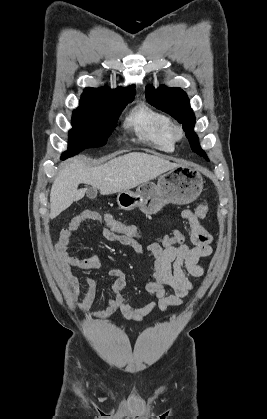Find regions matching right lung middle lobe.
Returning <instances> with one entry per match:
<instances>
[{
  "instance_id": "right-lung-middle-lobe-1",
  "label": "right lung middle lobe",
  "mask_w": 267,
  "mask_h": 419,
  "mask_svg": "<svg viewBox=\"0 0 267 419\" xmlns=\"http://www.w3.org/2000/svg\"><path fill=\"white\" fill-rule=\"evenodd\" d=\"M133 98L134 95H131L80 104L73 112V127L69 131L70 142L68 150L62 154V159L76 155L86 148L106 144L116 126L118 116Z\"/></svg>"
}]
</instances>
